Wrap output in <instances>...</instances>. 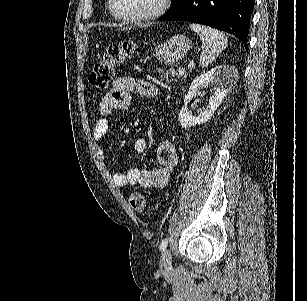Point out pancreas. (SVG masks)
Masks as SVG:
<instances>
[{
    "mask_svg": "<svg viewBox=\"0 0 307 301\" xmlns=\"http://www.w3.org/2000/svg\"><path fill=\"white\" fill-rule=\"evenodd\" d=\"M180 76H184L185 74H179L175 68H167L165 72H162V78L163 80H166V82H172V80H178Z\"/></svg>",
    "mask_w": 307,
    "mask_h": 301,
    "instance_id": "cf45deb5",
    "label": "pancreas"
}]
</instances>
